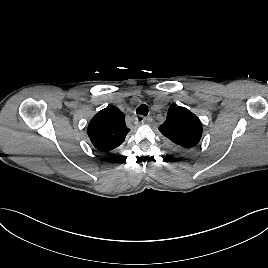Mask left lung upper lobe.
<instances>
[{
  "instance_id": "1",
  "label": "left lung upper lobe",
  "mask_w": 268,
  "mask_h": 268,
  "mask_svg": "<svg viewBox=\"0 0 268 268\" xmlns=\"http://www.w3.org/2000/svg\"><path fill=\"white\" fill-rule=\"evenodd\" d=\"M158 129L166 138L183 149L195 148L203 132L199 118L176 104L169 107L167 118Z\"/></svg>"
}]
</instances>
